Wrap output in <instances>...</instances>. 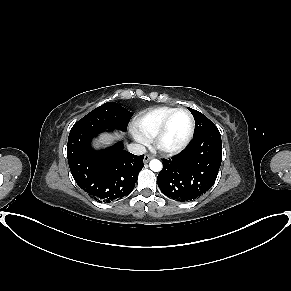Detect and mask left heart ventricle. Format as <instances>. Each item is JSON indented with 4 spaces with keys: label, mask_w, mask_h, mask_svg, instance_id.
<instances>
[{
    "label": "left heart ventricle",
    "mask_w": 291,
    "mask_h": 291,
    "mask_svg": "<svg viewBox=\"0 0 291 291\" xmlns=\"http://www.w3.org/2000/svg\"><path fill=\"white\" fill-rule=\"evenodd\" d=\"M190 128V117L185 112H179L171 119L167 132L163 138V144L174 147L180 144L186 137Z\"/></svg>",
    "instance_id": "left-heart-ventricle-1"
}]
</instances>
